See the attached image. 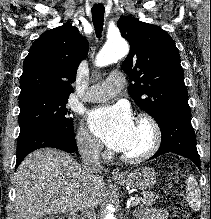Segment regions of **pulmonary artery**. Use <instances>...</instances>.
<instances>
[{
	"label": "pulmonary artery",
	"instance_id": "e3ab8cb5",
	"mask_svg": "<svg viewBox=\"0 0 211 219\" xmlns=\"http://www.w3.org/2000/svg\"><path fill=\"white\" fill-rule=\"evenodd\" d=\"M125 84V76L120 71L110 73L108 79L91 86L84 99L88 102H101L113 97Z\"/></svg>",
	"mask_w": 211,
	"mask_h": 219
}]
</instances>
